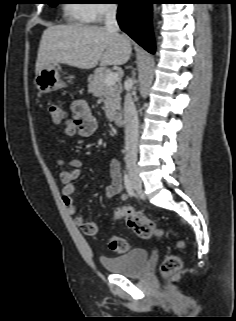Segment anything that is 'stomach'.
I'll return each mask as SVG.
<instances>
[{"instance_id": "1", "label": "stomach", "mask_w": 236, "mask_h": 321, "mask_svg": "<svg viewBox=\"0 0 236 321\" xmlns=\"http://www.w3.org/2000/svg\"><path fill=\"white\" fill-rule=\"evenodd\" d=\"M34 83L41 93H49L66 87L60 79L58 65L45 67L35 75Z\"/></svg>"}]
</instances>
